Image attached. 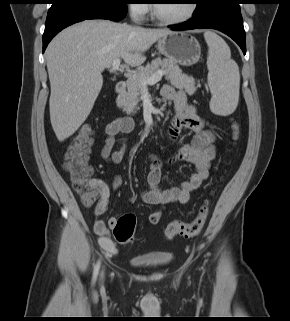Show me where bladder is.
Returning <instances> with one entry per match:
<instances>
[{
    "label": "bladder",
    "instance_id": "obj_1",
    "mask_svg": "<svg viewBox=\"0 0 290 321\" xmlns=\"http://www.w3.org/2000/svg\"><path fill=\"white\" fill-rule=\"evenodd\" d=\"M173 259V254L164 253L154 256H144V257H133L130 259V263L138 267L147 266H164L168 264Z\"/></svg>",
    "mask_w": 290,
    "mask_h": 321
}]
</instances>
